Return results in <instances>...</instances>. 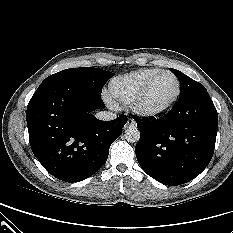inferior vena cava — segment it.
<instances>
[{
    "label": "inferior vena cava",
    "mask_w": 233,
    "mask_h": 233,
    "mask_svg": "<svg viewBox=\"0 0 233 233\" xmlns=\"http://www.w3.org/2000/svg\"><path fill=\"white\" fill-rule=\"evenodd\" d=\"M116 117V114L110 111H101L96 114V118L103 121H110L115 119Z\"/></svg>",
    "instance_id": "602c4592"
}]
</instances>
